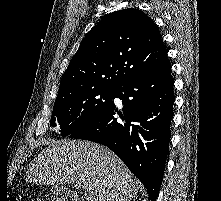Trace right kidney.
I'll return each instance as SVG.
<instances>
[{
  "mask_svg": "<svg viewBox=\"0 0 221 201\" xmlns=\"http://www.w3.org/2000/svg\"><path fill=\"white\" fill-rule=\"evenodd\" d=\"M116 201H130L128 198H119Z\"/></svg>",
  "mask_w": 221,
  "mask_h": 201,
  "instance_id": "ca27d5eb",
  "label": "right kidney"
}]
</instances>
